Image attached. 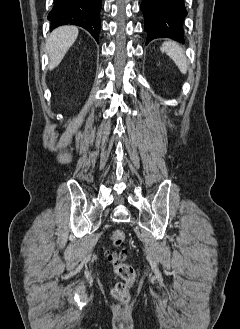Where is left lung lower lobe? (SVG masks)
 <instances>
[{
  "label": "left lung lower lobe",
  "mask_w": 240,
  "mask_h": 329,
  "mask_svg": "<svg viewBox=\"0 0 240 329\" xmlns=\"http://www.w3.org/2000/svg\"><path fill=\"white\" fill-rule=\"evenodd\" d=\"M147 42L156 38H170L183 42V20L187 15L184 0H143Z\"/></svg>",
  "instance_id": "1"
}]
</instances>
